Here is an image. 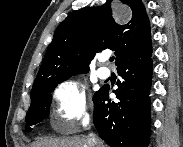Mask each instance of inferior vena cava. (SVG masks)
<instances>
[{
    "instance_id": "602c4592",
    "label": "inferior vena cava",
    "mask_w": 183,
    "mask_h": 147,
    "mask_svg": "<svg viewBox=\"0 0 183 147\" xmlns=\"http://www.w3.org/2000/svg\"><path fill=\"white\" fill-rule=\"evenodd\" d=\"M89 147H102V142L95 136V134L91 133L87 138Z\"/></svg>"
}]
</instances>
